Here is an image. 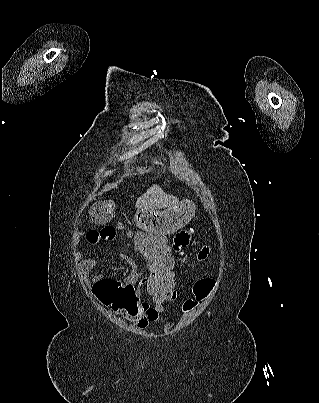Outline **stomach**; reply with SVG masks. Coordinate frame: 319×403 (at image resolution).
I'll return each mask as SVG.
<instances>
[{"label":"stomach","instance_id":"stomach-1","mask_svg":"<svg viewBox=\"0 0 319 403\" xmlns=\"http://www.w3.org/2000/svg\"><path fill=\"white\" fill-rule=\"evenodd\" d=\"M195 209L192 202L183 201L163 212L134 210V225L142 234H173L190 222Z\"/></svg>","mask_w":319,"mask_h":403}]
</instances>
